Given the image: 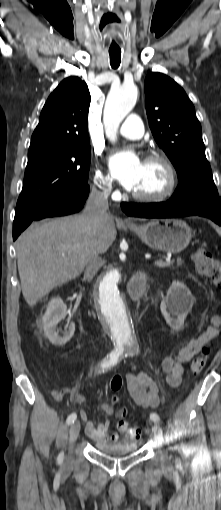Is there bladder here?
Here are the masks:
<instances>
[{"label":"bladder","mask_w":221,"mask_h":510,"mask_svg":"<svg viewBox=\"0 0 221 510\" xmlns=\"http://www.w3.org/2000/svg\"><path fill=\"white\" fill-rule=\"evenodd\" d=\"M96 448L108 456L120 457L135 452L138 444L132 440H124L119 442H95Z\"/></svg>","instance_id":"bladder-1"}]
</instances>
